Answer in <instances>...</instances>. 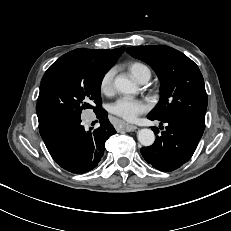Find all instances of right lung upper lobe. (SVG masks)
Masks as SVG:
<instances>
[{"instance_id": "1", "label": "right lung upper lobe", "mask_w": 231, "mask_h": 231, "mask_svg": "<svg viewBox=\"0 0 231 231\" xmlns=\"http://www.w3.org/2000/svg\"><path fill=\"white\" fill-rule=\"evenodd\" d=\"M124 50L125 47H121L120 49H115V50H108V49L95 50V49L79 48L73 51L85 53L90 57H92L95 61L112 67L116 63L117 59L124 52ZM47 124H48L47 122L39 120V128H42Z\"/></svg>"}]
</instances>
